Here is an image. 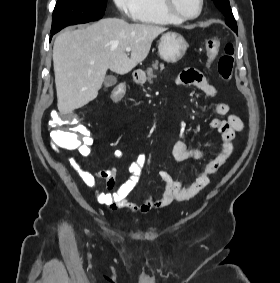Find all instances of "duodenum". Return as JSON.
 I'll use <instances>...</instances> for the list:
<instances>
[{
    "mask_svg": "<svg viewBox=\"0 0 280 283\" xmlns=\"http://www.w3.org/2000/svg\"><path fill=\"white\" fill-rule=\"evenodd\" d=\"M133 81L136 84H143L144 81H145V77L142 74H140V73H134L133 74Z\"/></svg>",
    "mask_w": 280,
    "mask_h": 283,
    "instance_id": "duodenum-1",
    "label": "duodenum"
}]
</instances>
